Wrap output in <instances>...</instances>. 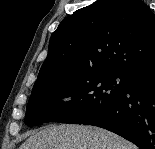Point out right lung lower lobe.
<instances>
[{
	"label": "right lung lower lobe",
	"mask_w": 155,
	"mask_h": 149,
	"mask_svg": "<svg viewBox=\"0 0 155 149\" xmlns=\"http://www.w3.org/2000/svg\"><path fill=\"white\" fill-rule=\"evenodd\" d=\"M82 124L112 131L140 149H155V69L130 74L121 96L97 118Z\"/></svg>",
	"instance_id": "98d812e1"
}]
</instances>
